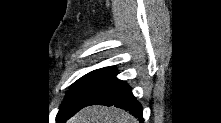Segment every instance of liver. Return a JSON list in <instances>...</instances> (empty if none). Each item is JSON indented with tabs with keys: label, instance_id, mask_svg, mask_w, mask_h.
<instances>
[{
	"label": "liver",
	"instance_id": "obj_1",
	"mask_svg": "<svg viewBox=\"0 0 221 123\" xmlns=\"http://www.w3.org/2000/svg\"><path fill=\"white\" fill-rule=\"evenodd\" d=\"M68 123H138V120L121 109L96 105L82 109Z\"/></svg>",
	"mask_w": 221,
	"mask_h": 123
}]
</instances>
